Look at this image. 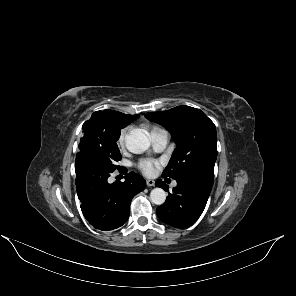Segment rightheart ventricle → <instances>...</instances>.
<instances>
[{
  "label": "right heart ventricle",
  "instance_id": "e07e8e85",
  "mask_svg": "<svg viewBox=\"0 0 296 296\" xmlns=\"http://www.w3.org/2000/svg\"><path fill=\"white\" fill-rule=\"evenodd\" d=\"M156 130H159V129H158V128H153V129L151 130V133L154 132V131H156Z\"/></svg>",
  "mask_w": 296,
  "mask_h": 296
}]
</instances>
